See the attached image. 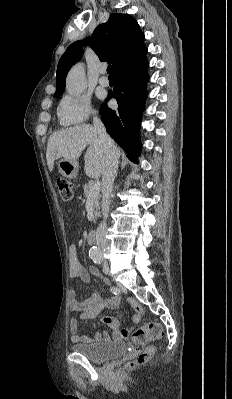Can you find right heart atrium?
<instances>
[{
    "instance_id": "obj_1",
    "label": "right heart atrium",
    "mask_w": 232,
    "mask_h": 399,
    "mask_svg": "<svg viewBox=\"0 0 232 399\" xmlns=\"http://www.w3.org/2000/svg\"><path fill=\"white\" fill-rule=\"evenodd\" d=\"M72 70V69H71ZM92 115V108L80 102L79 96H68L57 107V117L59 123L67 125H84Z\"/></svg>"
}]
</instances>
